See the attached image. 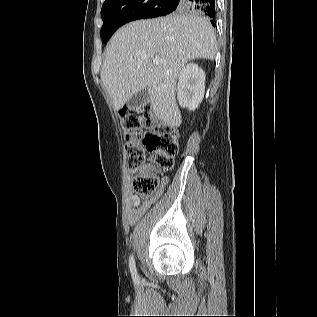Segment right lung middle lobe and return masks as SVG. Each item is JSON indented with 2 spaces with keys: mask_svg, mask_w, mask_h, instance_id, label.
<instances>
[{
  "mask_svg": "<svg viewBox=\"0 0 317 317\" xmlns=\"http://www.w3.org/2000/svg\"><path fill=\"white\" fill-rule=\"evenodd\" d=\"M172 2L173 0H106L101 9L103 26L100 34L103 42L106 44L120 26L130 21L183 11L172 6Z\"/></svg>",
  "mask_w": 317,
  "mask_h": 317,
  "instance_id": "obj_1",
  "label": "right lung middle lobe"
}]
</instances>
